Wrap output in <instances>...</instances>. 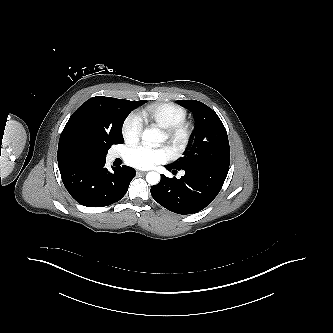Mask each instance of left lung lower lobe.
I'll return each instance as SVG.
<instances>
[{
    "instance_id": "1",
    "label": "left lung lower lobe",
    "mask_w": 333,
    "mask_h": 333,
    "mask_svg": "<svg viewBox=\"0 0 333 333\" xmlns=\"http://www.w3.org/2000/svg\"><path fill=\"white\" fill-rule=\"evenodd\" d=\"M169 171L177 169L165 165ZM180 179L161 175L159 184L151 187L153 199L166 209L182 214H193L207 207L220 192L228 168L202 165L184 169Z\"/></svg>"
}]
</instances>
